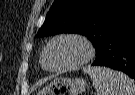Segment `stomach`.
I'll return each instance as SVG.
<instances>
[{"label":"stomach","mask_w":135,"mask_h":95,"mask_svg":"<svg viewBox=\"0 0 135 95\" xmlns=\"http://www.w3.org/2000/svg\"><path fill=\"white\" fill-rule=\"evenodd\" d=\"M86 87V81L82 78L57 77L37 95H79Z\"/></svg>","instance_id":"obj_1"}]
</instances>
